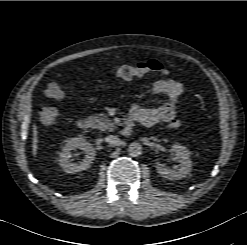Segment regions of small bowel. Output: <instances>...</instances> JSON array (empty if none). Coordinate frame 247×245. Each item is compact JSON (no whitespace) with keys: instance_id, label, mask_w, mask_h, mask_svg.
<instances>
[{"instance_id":"c3829d8e","label":"small bowel","mask_w":247,"mask_h":245,"mask_svg":"<svg viewBox=\"0 0 247 245\" xmlns=\"http://www.w3.org/2000/svg\"><path fill=\"white\" fill-rule=\"evenodd\" d=\"M152 91L156 95L166 96L168 101L156 107L135 105L131 109V115L144 126L173 121L176 118L178 104L186 93L183 84L170 79L157 80L153 84Z\"/></svg>"}]
</instances>
